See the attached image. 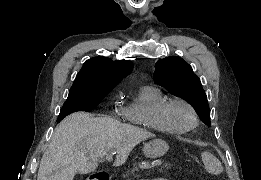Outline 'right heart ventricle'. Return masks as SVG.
<instances>
[{"label": "right heart ventricle", "instance_id": "right-heart-ventricle-1", "mask_svg": "<svg viewBox=\"0 0 261 180\" xmlns=\"http://www.w3.org/2000/svg\"><path fill=\"white\" fill-rule=\"evenodd\" d=\"M168 100L167 96L153 86L142 87L129 101L120 108L122 122H132V127H144V131H152L154 138L172 141L182 140L185 134L166 132L157 118V110Z\"/></svg>", "mask_w": 261, "mask_h": 180}]
</instances>
